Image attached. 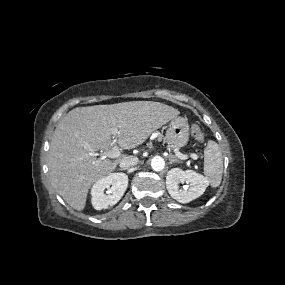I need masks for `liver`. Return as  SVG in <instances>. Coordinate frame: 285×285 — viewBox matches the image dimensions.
Wrapping results in <instances>:
<instances>
[{
    "label": "liver",
    "instance_id": "obj_1",
    "mask_svg": "<svg viewBox=\"0 0 285 285\" xmlns=\"http://www.w3.org/2000/svg\"><path fill=\"white\" fill-rule=\"evenodd\" d=\"M179 114L177 109L153 101L72 109L59 121L50 145L48 168L53 188L73 209L82 211L93 183L128 157L99 160L97 151L111 147V129L119 130V146L130 150Z\"/></svg>",
    "mask_w": 285,
    "mask_h": 285
}]
</instances>
